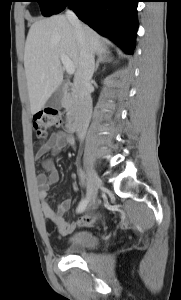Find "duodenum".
Wrapping results in <instances>:
<instances>
[{
	"instance_id": "410a0bca",
	"label": "duodenum",
	"mask_w": 181,
	"mask_h": 300,
	"mask_svg": "<svg viewBox=\"0 0 181 300\" xmlns=\"http://www.w3.org/2000/svg\"><path fill=\"white\" fill-rule=\"evenodd\" d=\"M67 96L69 98L70 115L68 119V130L70 132L76 131L84 122L86 116V106L81 100L79 93L72 85L68 88Z\"/></svg>"
}]
</instances>
